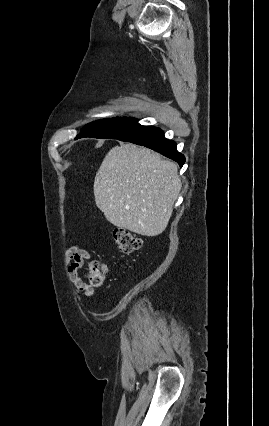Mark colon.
Returning a JSON list of instances; mask_svg holds the SVG:
<instances>
[{"label": "colon", "instance_id": "1", "mask_svg": "<svg viewBox=\"0 0 269 426\" xmlns=\"http://www.w3.org/2000/svg\"><path fill=\"white\" fill-rule=\"evenodd\" d=\"M113 239L124 253H132L142 246L141 239L135 233L121 227H116L113 230ZM107 273V265L94 260L90 263L85 276L92 286L100 287L104 283Z\"/></svg>", "mask_w": 269, "mask_h": 426}]
</instances>
